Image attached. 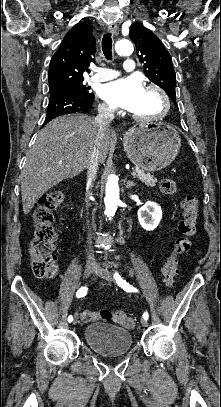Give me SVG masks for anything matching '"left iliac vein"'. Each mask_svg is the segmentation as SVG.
Segmentation results:
<instances>
[{
  "instance_id": "1",
  "label": "left iliac vein",
  "mask_w": 221,
  "mask_h": 407,
  "mask_svg": "<svg viewBox=\"0 0 221 407\" xmlns=\"http://www.w3.org/2000/svg\"><path fill=\"white\" fill-rule=\"evenodd\" d=\"M96 273L100 277L104 278L105 280L110 281V282H114L113 274L110 273L107 269H104V268H101V267H96ZM141 324H142L143 327H148V325H149L148 321L146 319H144V318H141Z\"/></svg>"
}]
</instances>
